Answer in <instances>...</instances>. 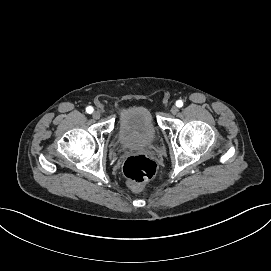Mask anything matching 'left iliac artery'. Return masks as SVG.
I'll return each instance as SVG.
<instances>
[{
    "label": "left iliac artery",
    "instance_id": "1",
    "mask_svg": "<svg viewBox=\"0 0 271 271\" xmlns=\"http://www.w3.org/2000/svg\"><path fill=\"white\" fill-rule=\"evenodd\" d=\"M176 106H177V107H182V106H183V102H182L181 100H178V101L176 102Z\"/></svg>",
    "mask_w": 271,
    "mask_h": 271
}]
</instances>
